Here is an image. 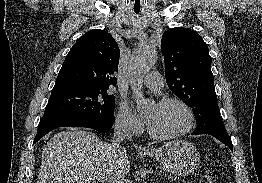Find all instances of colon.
Instances as JSON below:
<instances>
[{
    "label": "colon",
    "instance_id": "obj_1",
    "mask_svg": "<svg viewBox=\"0 0 262 183\" xmlns=\"http://www.w3.org/2000/svg\"><path fill=\"white\" fill-rule=\"evenodd\" d=\"M199 183H213V179L211 176L209 175H203L201 178H200V182Z\"/></svg>",
    "mask_w": 262,
    "mask_h": 183
}]
</instances>
